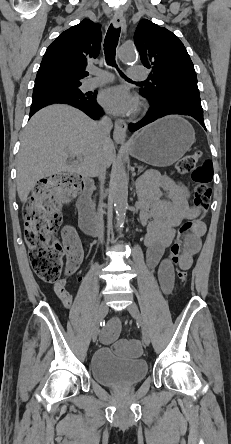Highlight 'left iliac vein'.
<instances>
[{
  "label": "left iliac vein",
  "instance_id": "1",
  "mask_svg": "<svg viewBox=\"0 0 231 444\" xmlns=\"http://www.w3.org/2000/svg\"><path fill=\"white\" fill-rule=\"evenodd\" d=\"M127 310L130 313V315L140 323L141 325V330H142V340L146 345L150 344V334H149V330L146 327V325L142 322L141 317H140V313H139V309L137 307V305L132 302L127 306Z\"/></svg>",
  "mask_w": 231,
  "mask_h": 444
}]
</instances>
